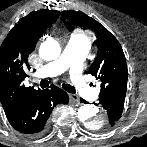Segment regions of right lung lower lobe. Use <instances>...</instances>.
<instances>
[{
    "instance_id": "right-lung-lower-lobe-1",
    "label": "right lung lower lobe",
    "mask_w": 147,
    "mask_h": 147,
    "mask_svg": "<svg viewBox=\"0 0 147 147\" xmlns=\"http://www.w3.org/2000/svg\"><path fill=\"white\" fill-rule=\"evenodd\" d=\"M69 102L68 94L57 86L42 90L22 110L8 116L11 126L27 135L41 134L55 105Z\"/></svg>"
}]
</instances>
